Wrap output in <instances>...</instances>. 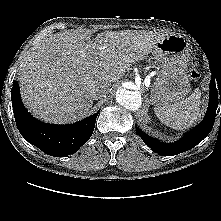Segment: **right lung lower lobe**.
<instances>
[{
    "label": "right lung lower lobe",
    "instance_id": "obj_1",
    "mask_svg": "<svg viewBox=\"0 0 221 221\" xmlns=\"http://www.w3.org/2000/svg\"><path fill=\"white\" fill-rule=\"evenodd\" d=\"M13 112L21 135L44 153L63 157L75 153L91 137L100 110L88 118L70 125L43 123L24 107L18 83L11 89Z\"/></svg>",
    "mask_w": 221,
    "mask_h": 221
}]
</instances>
